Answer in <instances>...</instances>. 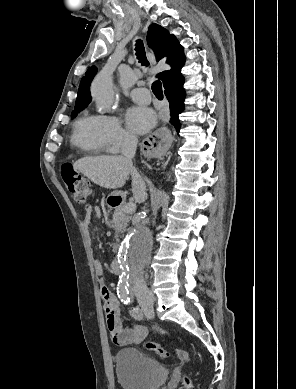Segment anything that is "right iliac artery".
<instances>
[{
    "instance_id": "obj_1",
    "label": "right iliac artery",
    "mask_w": 296,
    "mask_h": 389,
    "mask_svg": "<svg viewBox=\"0 0 296 389\" xmlns=\"http://www.w3.org/2000/svg\"><path fill=\"white\" fill-rule=\"evenodd\" d=\"M118 297L121 299V301L124 304L130 303L131 297L129 295V290L127 287H121L120 289L117 290Z\"/></svg>"
}]
</instances>
